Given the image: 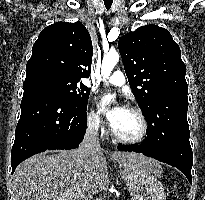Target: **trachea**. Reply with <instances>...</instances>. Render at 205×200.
Instances as JSON below:
<instances>
[{"label":"trachea","mask_w":205,"mask_h":200,"mask_svg":"<svg viewBox=\"0 0 205 200\" xmlns=\"http://www.w3.org/2000/svg\"><path fill=\"white\" fill-rule=\"evenodd\" d=\"M104 4L106 9L109 10L112 5V0H104Z\"/></svg>","instance_id":"1"}]
</instances>
